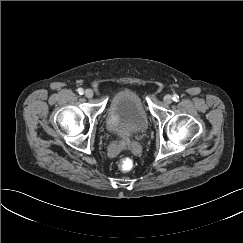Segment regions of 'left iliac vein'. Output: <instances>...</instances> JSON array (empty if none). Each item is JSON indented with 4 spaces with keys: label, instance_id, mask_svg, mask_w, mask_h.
<instances>
[{
    "label": "left iliac vein",
    "instance_id": "1",
    "mask_svg": "<svg viewBox=\"0 0 243 243\" xmlns=\"http://www.w3.org/2000/svg\"><path fill=\"white\" fill-rule=\"evenodd\" d=\"M163 100L166 104H170V103H172V96L167 94L164 96Z\"/></svg>",
    "mask_w": 243,
    "mask_h": 243
}]
</instances>
